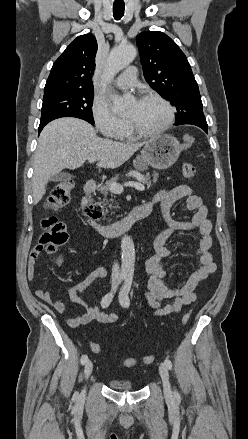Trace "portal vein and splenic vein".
Instances as JSON below:
<instances>
[{"label": "portal vein and splenic vein", "instance_id": "1", "mask_svg": "<svg viewBox=\"0 0 248 439\" xmlns=\"http://www.w3.org/2000/svg\"><path fill=\"white\" fill-rule=\"evenodd\" d=\"M88 161L90 163H94L95 159L94 158H90V159H88ZM124 186L125 187H132V188H135V189H137L139 191H144L145 190L144 185H142L141 183H138V182H134V181L125 182L124 184H119V183H116V182H112L110 184V186H109V190L112 193H114V194H121L123 192V190H124Z\"/></svg>", "mask_w": 248, "mask_h": 439}]
</instances>
